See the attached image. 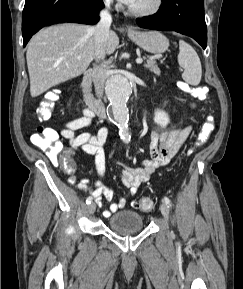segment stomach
Wrapping results in <instances>:
<instances>
[{"label":"stomach","mask_w":243,"mask_h":289,"mask_svg":"<svg viewBox=\"0 0 243 289\" xmlns=\"http://www.w3.org/2000/svg\"><path fill=\"white\" fill-rule=\"evenodd\" d=\"M129 38L145 51L152 54L165 52L169 47V40L158 31H134L128 33Z\"/></svg>","instance_id":"0dacf381"}]
</instances>
